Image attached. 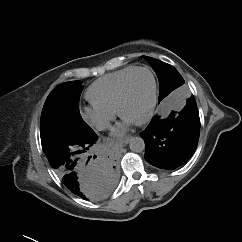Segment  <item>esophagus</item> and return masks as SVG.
Returning <instances> with one entry per match:
<instances>
[{
    "label": "esophagus",
    "instance_id": "1",
    "mask_svg": "<svg viewBox=\"0 0 242 242\" xmlns=\"http://www.w3.org/2000/svg\"><path fill=\"white\" fill-rule=\"evenodd\" d=\"M130 139H131L130 137H127L126 139L119 141V142H118V146H119V147H124V146H126V145L129 143Z\"/></svg>",
    "mask_w": 242,
    "mask_h": 242
}]
</instances>
